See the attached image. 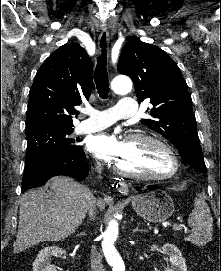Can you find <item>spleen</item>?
Instances as JSON below:
<instances>
[{"mask_svg":"<svg viewBox=\"0 0 221 271\" xmlns=\"http://www.w3.org/2000/svg\"><path fill=\"white\" fill-rule=\"evenodd\" d=\"M188 225L191 233L186 237V241H191L195 245H206L212 239L213 219L208 203L204 199H194V209L188 217Z\"/></svg>","mask_w":221,"mask_h":271,"instance_id":"3e777b00","label":"spleen"}]
</instances>
